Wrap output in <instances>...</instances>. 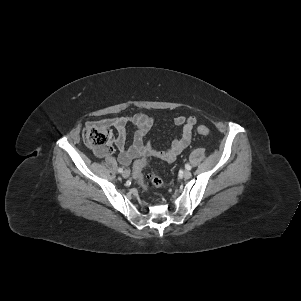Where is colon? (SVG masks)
Listing matches in <instances>:
<instances>
[{
	"instance_id": "1",
	"label": "colon",
	"mask_w": 301,
	"mask_h": 301,
	"mask_svg": "<svg viewBox=\"0 0 301 301\" xmlns=\"http://www.w3.org/2000/svg\"><path fill=\"white\" fill-rule=\"evenodd\" d=\"M197 132L202 136H208L210 129L205 125H199ZM83 139L85 143L91 147L98 156H106L112 152V132L109 127L101 122H90L83 129ZM148 159L141 158L133 164V177L139 185L147 187L143 173L144 167L147 165ZM151 184L156 187L164 186L163 180L157 174L150 175Z\"/></svg>"
}]
</instances>
